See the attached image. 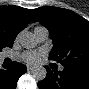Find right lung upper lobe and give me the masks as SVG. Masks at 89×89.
<instances>
[{
    "instance_id": "right-lung-upper-lobe-1",
    "label": "right lung upper lobe",
    "mask_w": 89,
    "mask_h": 89,
    "mask_svg": "<svg viewBox=\"0 0 89 89\" xmlns=\"http://www.w3.org/2000/svg\"><path fill=\"white\" fill-rule=\"evenodd\" d=\"M30 22H35L31 10L14 5L0 7V45L12 47L17 34Z\"/></svg>"
}]
</instances>
